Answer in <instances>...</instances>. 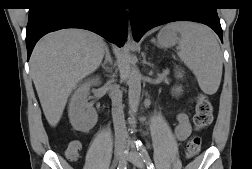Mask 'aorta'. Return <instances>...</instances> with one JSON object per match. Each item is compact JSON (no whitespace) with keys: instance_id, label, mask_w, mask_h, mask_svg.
<instances>
[{"instance_id":"aorta-1","label":"aorta","mask_w":252,"mask_h":169,"mask_svg":"<svg viewBox=\"0 0 252 169\" xmlns=\"http://www.w3.org/2000/svg\"><path fill=\"white\" fill-rule=\"evenodd\" d=\"M134 48V43L128 37L123 50V57L125 59L124 69L127 74L128 84V106H129V118L128 123L133 129L136 125V114L138 111L141 95V74L137 68L131 67V51Z\"/></svg>"}]
</instances>
